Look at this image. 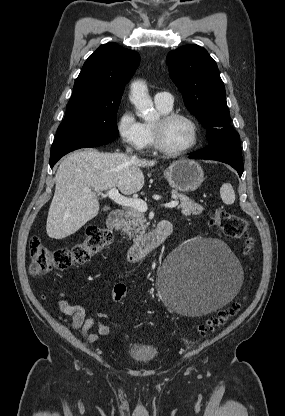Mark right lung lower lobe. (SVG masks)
<instances>
[{"instance_id": "1", "label": "right lung lower lobe", "mask_w": 285, "mask_h": 416, "mask_svg": "<svg viewBox=\"0 0 285 416\" xmlns=\"http://www.w3.org/2000/svg\"><path fill=\"white\" fill-rule=\"evenodd\" d=\"M110 137H65L56 138L51 147L50 166L51 168L57 161L67 153L80 148L97 147L114 141Z\"/></svg>"}]
</instances>
